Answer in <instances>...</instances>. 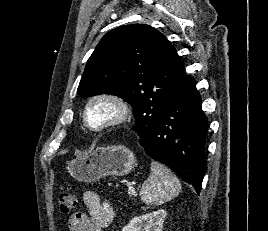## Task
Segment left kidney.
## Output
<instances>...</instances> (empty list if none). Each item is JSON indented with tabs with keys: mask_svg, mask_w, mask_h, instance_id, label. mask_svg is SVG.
<instances>
[{
	"mask_svg": "<svg viewBox=\"0 0 268 231\" xmlns=\"http://www.w3.org/2000/svg\"><path fill=\"white\" fill-rule=\"evenodd\" d=\"M165 210H157L145 215L134 217L122 231H162Z\"/></svg>",
	"mask_w": 268,
	"mask_h": 231,
	"instance_id": "5707ae66",
	"label": "left kidney"
}]
</instances>
